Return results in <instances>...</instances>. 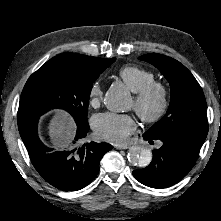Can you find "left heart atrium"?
<instances>
[{
  "instance_id": "39dd6f15",
  "label": "left heart atrium",
  "mask_w": 221,
  "mask_h": 221,
  "mask_svg": "<svg viewBox=\"0 0 221 221\" xmlns=\"http://www.w3.org/2000/svg\"><path fill=\"white\" fill-rule=\"evenodd\" d=\"M92 126L100 138L115 144L124 143L136 130V122L132 115L111 112L94 116Z\"/></svg>"
}]
</instances>
